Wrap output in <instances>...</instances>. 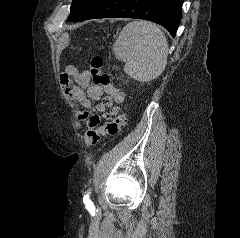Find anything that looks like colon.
<instances>
[{
    "instance_id": "1",
    "label": "colon",
    "mask_w": 240,
    "mask_h": 238,
    "mask_svg": "<svg viewBox=\"0 0 240 238\" xmlns=\"http://www.w3.org/2000/svg\"><path fill=\"white\" fill-rule=\"evenodd\" d=\"M103 59L95 56L91 60L90 75L96 84L101 85L105 92L113 96L118 103L123 102V96L119 90L113 85L111 77L102 70ZM126 121L125 113H120L109 120L105 124L90 128L85 135V145L92 147L96 145L103 136H113L120 132Z\"/></svg>"
}]
</instances>
